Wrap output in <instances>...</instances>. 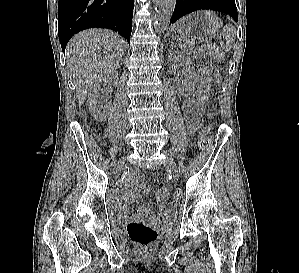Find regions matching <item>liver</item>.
Segmentation results:
<instances>
[{
    "label": "liver",
    "instance_id": "liver-1",
    "mask_svg": "<svg viewBox=\"0 0 299 273\" xmlns=\"http://www.w3.org/2000/svg\"><path fill=\"white\" fill-rule=\"evenodd\" d=\"M125 42L106 29H90L75 35L66 47V64L73 76L79 104L86 100L94 79L117 67L125 52Z\"/></svg>",
    "mask_w": 299,
    "mask_h": 273
}]
</instances>
